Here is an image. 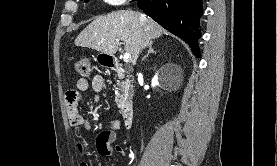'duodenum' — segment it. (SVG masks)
Masks as SVG:
<instances>
[{"instance_id": "duodenum-1", "label": "duodenum", "mask_w": 277, "mask_h": 166, "mask_svg": "<svg viewBox=\"0 0 277 166\" xmlns=\"http://www.w3.org/2000/svg\"><path fill=\"white\" fill-rule=\"evenodd\" d=\"M107 66L115 72H118L121 74L124 73L123 65L120 63L119 60H117L115 58L110 59L107 62ZM121 114H122V121H123L124 126L126 128H130L132 125V121H133L134 109H133V104L129 99H125L121 103Z\"/></svg>"}]
</instances>
